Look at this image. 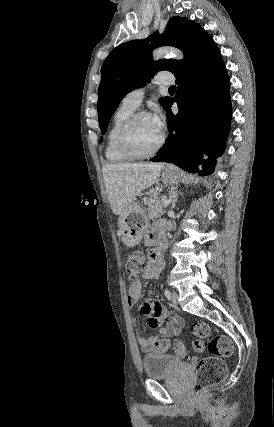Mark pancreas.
<instances>
[{
  "label": "pancreas",
  "instance_id": "pancreas-1",
  "mask_svg": "<svg viewBox=\"0 0 274 427\" xmlns=\"http://www.w3.org/2000/svg\"><path fill=\"white\" fill-rule=\"evenodd\" d=\"M163 200H159L157 196H150L145 200L147 208V215L149 219H155V217H161V215L165 214V210L163 208L165 204V196H162Z\"/></svg>",
  "mask_w": 274,
  "mask_h": 427
}]
</instances>
